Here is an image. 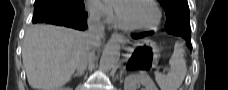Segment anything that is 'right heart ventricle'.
<instances>
[{"label": "right heart ventricle", "instance_id": "1", "mask_svg": "<svg viewBox=\"0 0 228 90\" xmlns=\"http://www.w3.org/2000/svg\"><path fill=\"white\" fill-rule=\"evenodd\" d=\"M119 2H120V1H116V3H118V4H119ZM115 24H116L117 26H119V27H122V25L120 24L119 20H116V21H115Z\"/></svg>", "mask_w": 228, "mask_h": 90}]
</instances>
